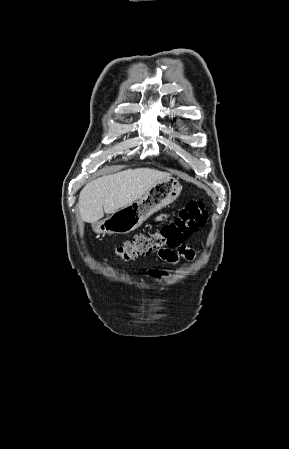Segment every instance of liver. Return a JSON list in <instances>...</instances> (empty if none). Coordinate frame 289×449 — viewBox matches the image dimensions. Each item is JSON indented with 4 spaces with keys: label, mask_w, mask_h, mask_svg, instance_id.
<instances>
[{
    "label": "liver",
    "mask_w": 289,
    "mask_h": 449,
    "mask_svg": "<svg viewBox=\"0 0 289 449\" xmlns=\"http://www.w3.org/2000/svg\"><path fill=\"white\" fill-rule=\"evenodd\" d=\"M168 176V173L155 169L137 168L95 179L80 192V218L95 224L103 218L104 212L112 214L135 202L154 184Z\"/></svg>",
    "instance_id": "6515ba94"
}]
</instances>
